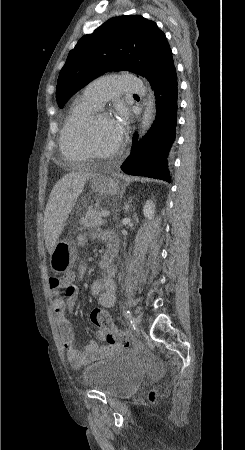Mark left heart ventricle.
<instances>
[{
    "label": "left heart ventricle",
    "instance_id": "1",
    "mask_svg": "<svg viewBox=\"0 0 245 450\" xmlns=\"http://www.w3.org/2000/svg\"><path fill=\"white\" fill-rule=\"evenodd\" d=\"M93 135L97 148L102 152H113L120 146L112 133L107 117L102 115L94 117Z\"/></svg>",
    "mask_w": 245,
    "mask_h": 450
}]
</instances>
